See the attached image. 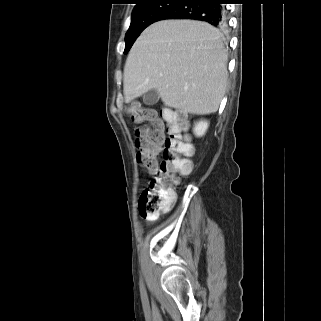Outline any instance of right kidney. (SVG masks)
I'll use <instances>...</instances> for the list:
<instances>
[{"label": "right kidney", "instance_id": "1", "mask_svg": "<svg viewBox=\"0 0 321 321\" xmlns=\"http://www.w3.org/2000/svg\"><path fill=\"white\" fill-rule=\"evenodd\" d=\"M208 126L209 123L207 121L201 120L195 124L193 132L197 137H202L206 133Z\"/></svg>", "mask_w": 321, "mask_h": 321}]
</instances>
